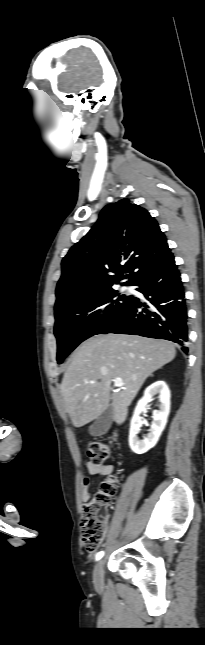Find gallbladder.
Masks as SVG:
<instances>
[{"instance_id":"gallbladder-1","label":"gallbladder","mask_w":205,"mask_h":645,"mask_svg":"<svg viewBox=\"0 0 205 645\" xmlns=\"http://www.w3.org/2000/svg\"><path fill=\"white\" fill-rule=\"evenodd\" d=\"M113 418V408L110 404L106 410L95 420L89 427V434L91 436L104 435L110 428Z\"/></svg>"}]
</instances>
